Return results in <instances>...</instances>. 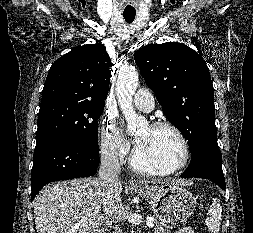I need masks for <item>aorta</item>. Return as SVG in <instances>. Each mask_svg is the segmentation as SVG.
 I'll use <instances>...</instances> for the list:
<instances>
[{
  "mask_svg": "<svg viewBox=\"0 0 253 233\" xmlns=\"http://www.w3.org/2000/svg\"><path fill=\"white\" fill-rule=\"evenodd\" d=\"M138 80L139 75L136 68L130 66L120 70L116 83L118 103L125 116L129 133H135L147 124V121L143 117L135 113L132 105V98L137 89Z\"/></svg>",
  "mask_w": 253,
  "mask_h": 233,
  "instance_id": "obj_1",
  "label": "aorta"
}]
</instances>
